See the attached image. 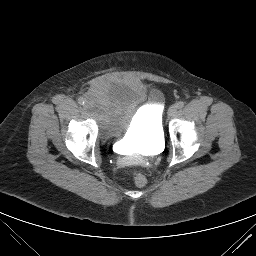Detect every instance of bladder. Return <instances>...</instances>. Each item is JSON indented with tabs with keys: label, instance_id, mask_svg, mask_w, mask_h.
<instances>
[{
	"label": "bladder",
	"instance_id": "1",
	"mask_svg": "<svg viewBox=\"0 0 256 256\" xmlns=\"http://www.w3.org/2000/svg\"><path fill=\"white\" fill-rule=\"evenodd\" d=\"M86 107L102 138L123 135L127 145L149 150L164 141L163 94L158 89L135 80L106 78L88 93Z\"/></svg>",
	"mask_w": 256,
	"mask_h": 256
}]
</instances>
